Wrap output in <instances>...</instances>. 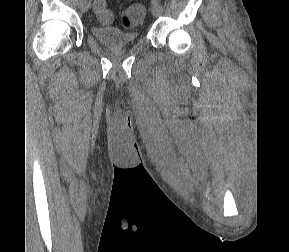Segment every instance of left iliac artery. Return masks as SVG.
I'll return each instance as SVG.
<instances>
[{"label": "left iliac artery", "instance_id": "obj_1", "mask_svg": "<svg viewBox=\"0 0 289 252\" xmlns=\"http://www.w3.org/2000/svg\"><path fill=\"white\" fill-rule=\"evenodd\" d=\"M152 4H159V0H152Z\"/></svg>", "mask_w": 289, "mask_h": 252}]
</instances>
